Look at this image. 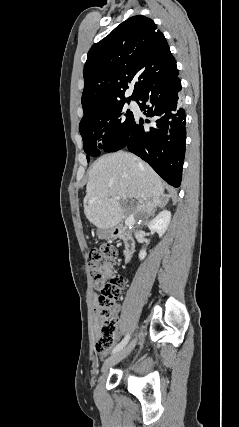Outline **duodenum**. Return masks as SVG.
Returning a JSON list of instances; mask_svg holds the SVG:
<instances>
[{"mask_svg":"<svg viewBox=\"0 0 239 427\" xmlns=\"http://www.w3.org/2000/svg\"><path fill=\"white\" fill-rule=\"evenodd\" d=\"M111 234L122 239L123 256L125 261H129L136 248V241L132 232L126 227L117 226L111 230Z\"/></svg>","mask_w":239,"mask_h":427,"instance_id":"obj_1","label":"duodenum"}]
</instances>
